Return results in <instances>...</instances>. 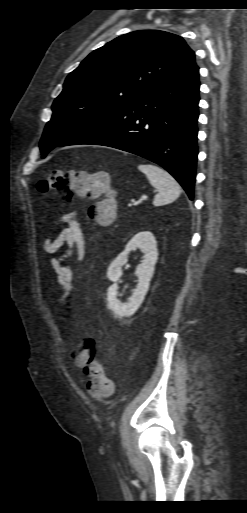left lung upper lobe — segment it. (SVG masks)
Here are the masks:
<instances>
[{
	"label": "left lung upper lobe",
	"instance_id": "5c2ea615",
	"mask_svg": "<svg viewBox=\"0 0 247 513\" xmlns=\"http://www.w3.org/2000/svg\"><path fill=\"white\" fill-rule=\"evenodd\" d=\"M193 59L180 36L159 30L131 32L93 51L68 75L52 105L40 141L42 157L168 81Z\"/></svg>",
	"mask_w": 247,
	"mask_h": 513
}]
</instances>
